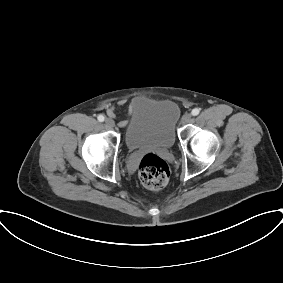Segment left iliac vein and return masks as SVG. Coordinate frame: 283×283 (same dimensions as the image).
Wrapping results in <instances>:
<instances>
[{
	"mask_svg": "<svg viewBox=\"0 0 283 283\" xmlns=\"http://www.w3.org/2000/svg\"><path fill=\"white\" fill-rule=\"evenodd\" d=\"M191 114L190 113H186L183 117H182V123L186 124L189 123L191 121Z\"/></svg>",
	"mask_w": 283,
	"mask_h": 283,
	"instance_id": "left-iliac-vein-1",
	"label": "left iliac vein"
}]
</instances>
